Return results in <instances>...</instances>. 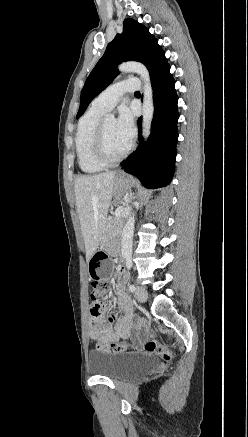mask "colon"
Returning <instances> with one entry per match:
<instances>
[{"mask_svg":"<svg viewBox=\"0 0 248 437\" xmlns=\"http://www.w3.org/2000/svg\"><path fill=\"white\" fill-rule=\"evenodd\" d=\"M101 280H104V283H101ZM111 290V284L109 281L105 279H96L92 282L91 286V292L90 296L91 299L95 302H98L102 299H104ZM98 350L104 351V352H110V353H119L123 352L125 350V345L121 343H107V344H99L97 346ZM145 349L150 352L154 353L158 356H161L165 360L169 361L173 357V353L167 346L161 344L156 339H150L145 344Z\"/></svg>","mask_w":248,"mask_h":437,"instance_id":"colon-1","label":"colon"}]
</instances>
